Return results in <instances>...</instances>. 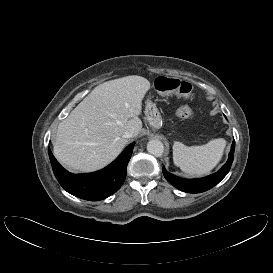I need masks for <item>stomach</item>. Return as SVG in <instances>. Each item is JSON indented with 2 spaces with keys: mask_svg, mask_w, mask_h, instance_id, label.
I'll use <instances>...</instances> for the list:
<instances>
[{
  "mask_svg": "<svg viewBox=\"0 0 273 273\" xmlns=\"http://www.w3.org/2000/svg\"><path fill=\"white\" fill-rule=\"evenodd\" d=\"M153 86L158 94L162 96H169L174 93L175 88L173 78L168 76L159 75L154 78ZM145 115L150 125L158 129L162 125L161 114L154 102L150 99L145 103Z\"/></svg>",
  "mask_w": 273,
  "mask_h": 273,
  "instance_id": "stomach-1",
  "label": "stomach"
}]
</instances>
